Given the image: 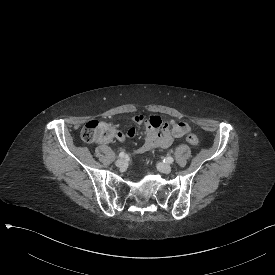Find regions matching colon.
<instances>
[{"mask_svg":"<svg viewBox=\"0 0 275 275\" xmlns=\"http://www.w3.org/2000/svg\"><path fill=\"white\" fill-rule=\"evenodd\" d=\"M118 130L119 129L114 128L110 123L90 120L83 126L81 137L86 143L107 142L112 139H117L116 134ZM132 130L134 131V129ZM186 140L190 145L194 146L199 143V139L194 133H188Z\"/></svg>","mask_w":275,"mask_h":275,"instance_id":"5ec220e1","label":"colon"}]
</instances>
